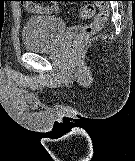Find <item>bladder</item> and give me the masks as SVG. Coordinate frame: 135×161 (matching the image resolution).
I'll use <instances>...</instances> for the list:
<instances>
[{"instance_id":"31cf9c89","label":"bladder","mask_w":135,"mask_h":161,"mask_svg":"<svg viewBox=\"0 0 135 161\" xmlns=\"http://www.w3.org/2000/svg\"><path fill=\"white\" fill-rule=\"evenodd\" d=\"M65 30L66 24L61 17H30L22 31L23 45L32 52L50 50L55 47Z\"/></svg>"}]
</instances>
